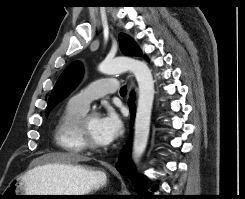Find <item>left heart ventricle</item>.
Wrapping results in <instances>:
<instances>
[{
	"label": "left heart ventricle",
	"instance_id": "b2bd125f",
	"mask_svg": "<svg viewBox=\"0 0 245 199\" xmlns=\"http://www.w3.org/2000/svg\"><path fill=\"white\" fill-rule=\"evenodd\" d=\"M97 124H98V118L96 116L89 117L85 122L86 132H87V135L89 136V138L93 142L100 144V145H103V143L100 140V137L98 135Z\"/></svg>",
	"mask_w": 245,
	"mask_h": 199
}]
</instances>
